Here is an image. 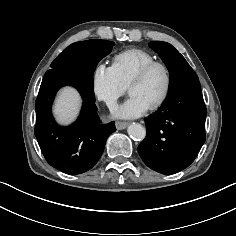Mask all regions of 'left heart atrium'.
Instances as JSON below:
<instances>
[{
	"label": "left heart atrium",
	"mask_w": 236,
	"mask_h": 236,
	"mask_svg": "<svg viewBox=\"0 0 236 236\" xmlns=\"http://www.w3.org/2000/svg\"><path fill=\"white\" fill-rule=\"evenodd\" d=\"M149 105L136 95H131L116 111L120 118H135L143 115Z\"/></svg>",
	"instance_id": "1"
}]
</instances>
